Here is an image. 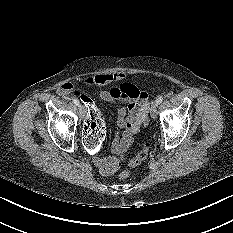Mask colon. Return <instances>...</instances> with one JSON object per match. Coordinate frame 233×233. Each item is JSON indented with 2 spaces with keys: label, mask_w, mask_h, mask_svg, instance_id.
Here are the masks:
<instances>
[{
  "label": "colon",
  "mask_w": 233,
  "mask_h": 233,
  "mask_svg": "<svg viewBox=\"0 0 233 233\" xmlns=\"http://www.w3.org/2000/svg\"><path fill=\"white\" fill-rule=\"evenodd\" d=\"M79 106L84 112L85 124V144L90 153H98L103 148V139L105 136V122L99 112L90 100L89 95L81 94L78 97ZM143 125L148 124V117L145 116L142 121ZM149 144H144L139 153L128 162L130 167H136L145 161L149 155ZM130 175L129 171L125 170L119 174L121 179H126Z\"/></svg>",
  "instance_id": "1"
}]
</instances>
